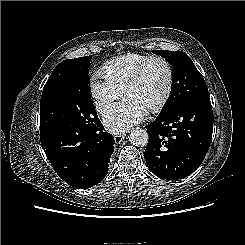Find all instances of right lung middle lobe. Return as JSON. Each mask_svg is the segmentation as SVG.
Listing matches in <instances>:
<instances>
[{
    "mask_svg": "<svg viewBox=\"0 0 245 245\" xmlns=\"http://www.w3.org/2000/svg\"><path fill=\"white\" fill-rule=\"evenodd\" d=\"M92 56L67 59L51 73L41 96L40 125L90 127L98 116L89 91Z\"/></svg>",
    "mask_w": 245,
    "mask_h": 245,
    "instance_id": "1",
    "label": "right lung middle lobe"
}]
</instances>
